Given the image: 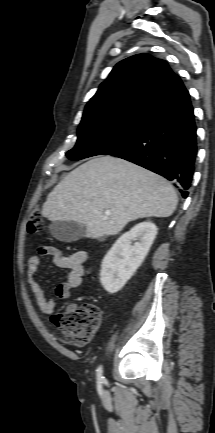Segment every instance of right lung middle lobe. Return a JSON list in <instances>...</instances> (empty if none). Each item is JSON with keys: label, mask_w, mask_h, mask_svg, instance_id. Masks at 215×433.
<instances>
[{"label": "right lung middle lobe", "mask_w": 215, "mask_h": 433, "mask_svg": "<svg viewBox=\"0 0 215 433\" xmlns=\"http://www.w3.org/2000/svg\"><path fill=\"white\" fill-rule=\"evenodd\" d=\"M144 115H125L81 122L75 147L66 156L73 161L105 155L129 144L144 123Z\"/></svg>", "instance_id": "right-lung-middle-lobe-1"}]
</instances>
